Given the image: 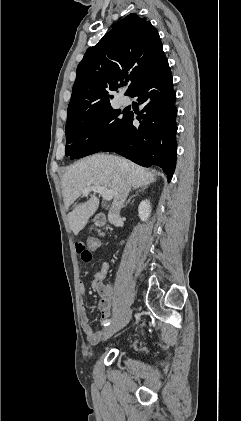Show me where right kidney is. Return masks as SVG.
<instances>
[{"label": "right kidney", "mask_w": 241, "mask_h": 421, "mask_svg": "<svg viewBox=\"0 0 241 421\" xmlns=\"http://www.w3.org/2000/svg\"><path fill=\"white\" fill-rule=\"evenodd\" d=\"M151 213V205L149 200H143L138 206V214L142 221H147Z\"/></svg>", "instance_id": "obj_1"}]
</instances>
